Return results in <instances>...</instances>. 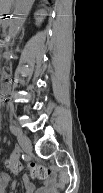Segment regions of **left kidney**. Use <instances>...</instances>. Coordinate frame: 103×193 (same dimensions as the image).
Listing matches in <instances>:
<instances>
[{"instance_id": "left-kidney-1", "label": "left kidney", "mask_w": 103, "mask_h": 193, "mask_svg": "<svg viewBox=\"0 0 103 193\" xmlns=\"http://www.w3.org/2000/svg\"><path fill=\"white\" fill-rule=\"evenodd\" d=\"M46 16V11L45 10H39L35 13V19L36 22L39 24L40 22H42L43 17Z\"/></svg>"}]
</instances>
